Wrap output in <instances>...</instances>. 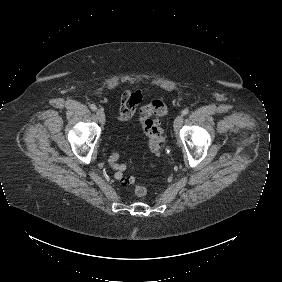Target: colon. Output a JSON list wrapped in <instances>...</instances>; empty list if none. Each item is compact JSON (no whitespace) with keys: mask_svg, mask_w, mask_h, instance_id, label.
Returning <instances> with one entry per match:
<instances>
[{"mask_svg":"<svg viewBox=\"0 0 282 282\" xmlns=\"http://www.w3.org/2000/svg\"><path fill=\"white\" fill-rule=\"evenodd\" d=\"M166 110L167 107L162 102H155L151 106V111L155 115H162L166 112ZM141 116L143 118H148L150 115L148 113H143ZM149 121H151V124H145L143 126L144 134L147 140L148 151L153 155H158L161 153L163 148V136L158 124L156 122H152V120ZM109 164L115 173L116 179L121 185L128 186L133 184V178L125 175V165L120 162L118 151L113 150L110 153ZM154 173L156 174L157 172L155 171ZM134 193L138 198H142L147 194V187L143 184H138V186L134 187Z\"/></svg>","mask_w":282,"mask_h":282,"instance_id":"5ec220e1","label":"colon"}]
</instances>
